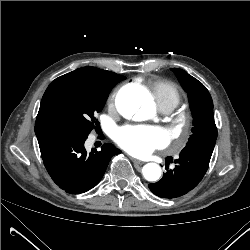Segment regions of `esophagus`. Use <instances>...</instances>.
<instances>
[{
  "instance_id": "34e87169",
  "label": "esophagus",
  "mask_w": 250,
  "mask_h": 250,
  "mask_svg": "<svg viewBox=\"0 0 250 250\" xmlns=\"http://www.w3.org/2000/svg\"><path fill=\"white\" fill-rule=\"evenodd\" d=\"M131 160H132V162L134 163V165H142V164H144V162L143 161H141V160H138V159H135V158H131Z\"/></svg>"
}]
</instances>
